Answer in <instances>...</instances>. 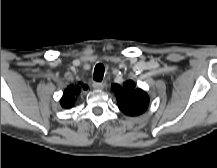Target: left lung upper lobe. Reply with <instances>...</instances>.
Listing matches in <instances>:
<instances>
[{
  "mask_svg": "<svg viewBox=\"0 0 217 168\" xmlns=\"http://www.w3.org/2000/svg\"><path fill=\"white\" fill-rule=\"evenodd\" d=\"M112 88L115 91L118 107L124 114L137 116L146 110L149 97L142 89L135 87L132 80L122 85L112 84Z\"/></svg>",
  "mask_w": 217,
  "mask_h": 168,
  "instance_id": "left-lung-upper-lobe-1",
  "label": "left lung upper lobe"
}]
</instances>
